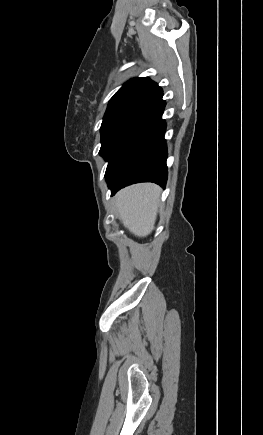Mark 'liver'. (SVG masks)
I'll return each instance as SVG.
<instances>
[{"label":"liver","mask_w":263,"mask_h":435,"mask_svg":"<svg viewBox=\"0 0 263 435\" xmlns=\"http://www.w3.org/2000/svg\"><path fill=\"white\" fill-rule=\"evenodd\" d=\"M160 191L157 185L144 183L129 186L117 193L119 219L134 235L145 237L153 231Z\"/></svg>","instance_id":"1"}]
</instances>
